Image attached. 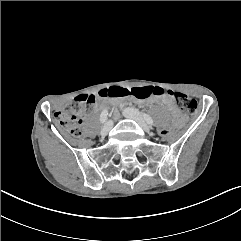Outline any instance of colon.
<instances>
[{
    "label": "colon",
    "mask_w": 241,
    "mask_h": 241,
    "mask_svg": "<svg viewBox=\"0 0 241 241\" xmlns=\"http://www.w3.org/2000/svg\"><path fill=\"white\" fill-rule=\"evenodd\" d=\"M151 95L169 96L178 107L185 112L194 115L197 112V102L182 93L174 91H165L161 87L139 86V87H122L112 86L101 90L97 95L82 94L77 96L73 102L57 111L54 115L56 122L68 133L74 137L80 136L81 116L96 102L98 98H121L131 96L137 99H146ZM175 128L172 125L159 127L155 129V136L159 138H167L175 135Z\"/></svg>",
    "instance_id": "obj_1"
}]
</instances>
